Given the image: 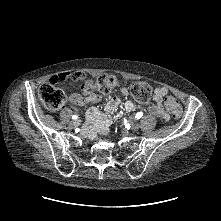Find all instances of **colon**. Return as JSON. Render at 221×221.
<instances>
[{
	"label": "colon",
	"mask_w": 221,
	"mask_h": 221,
	"mask_svg": "<svg viewBox=\"0 0 221 221\" xmlns=\"http://www.w3.org/2000/svg\"><path fill=\"white\" fill-rule=\"evenodd\" d=\"M118 86V79L114 76H102L96 83L86 81L82 88L84 93L94 92L97 94H109ZM130 93L133 98L139 102H146L152 94L151 86L145 82H135L130 87ZM39 97L43 105L52 111L58 110L66 103L71 104L73 97H67L65 92L58 85L44 83L39 88ZM167 105L173 118L179 119L181 116V107L174 98L167 99Z\"/></svg>",
	"instance_id": "obj_1"
}]
</instances>
